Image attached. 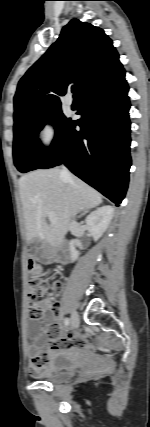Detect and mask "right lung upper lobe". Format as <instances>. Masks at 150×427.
I'll use <instances>...</instances> for the list:
<instances>
[{
	"mask_svg": "<svg viewBox=\"0 0 150 427\" xmlns=\"http://www.w3.org/2000/svg\"><path fill=\"white\" fill-rule=\"evenodd\" d=\"M120 65L111 39L101 28L72 19L19 81L14 121L60 106L59 96L65 94L70 83L80 95Z\"/></svg>",
	"mask_w": 150,
	"mask_h": 427,
	"instance_id": "cb5924a9",
	"label": "right lung upper lobe"
}]
</instances>
